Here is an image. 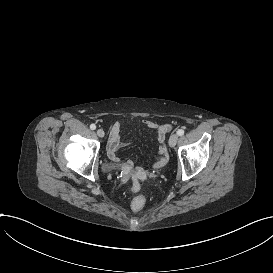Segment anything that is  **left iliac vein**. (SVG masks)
I'll list each match as a JSON object with an SVG mask.
<instances>
[{"instance_id":"4c4485c4","label":"left iliac vein","mask_w":273,"mask_h":273,"mask_svg":"<svg viewBox=\"0 0 273 273\" xmlns=\"http://www.w3.org/2000/svg\"><path fill=\"white\" fill-rule=\"evenodd\" d=\"M178 134H172L169 138V146L174 147L178 141Z\"/></svg>"}]
</instances>
